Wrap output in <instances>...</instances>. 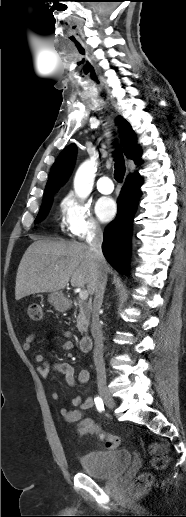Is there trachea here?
I'll list each match as a JSON object with an SVG mask.
<instances>
[{
	"instance_id": "obj_1",
	"label": "trachea",
	"mask_w": 186,
	"mask_h": 517,
	"mask_svg": "<svg viewBox=\"0 0 186 517\" xmlns=\"http://www.w3.org/2000/svg\"><path fill=\"white\" fill-rule=\"evenodd\" d=\"M115 170H114V178L118 182H122L125 175V161L122 154V151L118 148L115 153Z\"/></svg>"
}]
</instances>
